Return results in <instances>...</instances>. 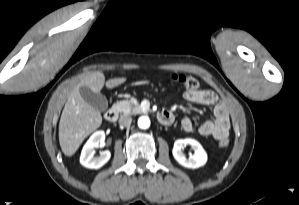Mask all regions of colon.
Returning <instances> with one entry per match:
<instances>
[{
    "label": "colon",
    "mask_w": 299,
    "mask_h": 205,
    "mask_svg": "<svg viewBox=\"0 0 299 205\" xmlns=\"http://www.w3.org/2000/svg\"><path fill=\"white\" fill-rule=\"evenodd\" d=\"M170 80L172 83L180 85L187 90H198L200 88L199 81L192 75L189 74H172L170 76ZM220 147H226L229 144L228 137H224L218 141Z\"/></svg>",
    "instance_id": "5ec220e1"
}]
</instances>
